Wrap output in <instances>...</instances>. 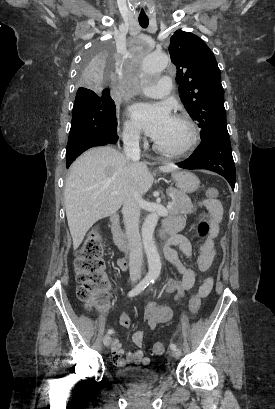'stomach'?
Returning <instances> with one entry per match:
<instances>
[{"label":"stomach","mask_w":275,"mask_h":409,"mask_svg":"<svg viewBox=\"0 0 275 409\" xmlns=\"http://www.w3.org/2000/svg\"><path fill=\"white\" fill-rule=\"evenodd\" d=\"M172 176L177 184V188L182 190V192H194L199 188L200 180L193 174V172H188V170H176L172 172Z\"/></svg>","instance_id":"1"}]
</instances>
